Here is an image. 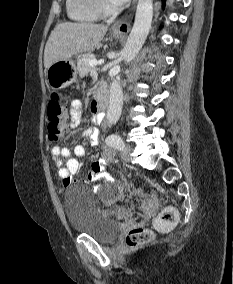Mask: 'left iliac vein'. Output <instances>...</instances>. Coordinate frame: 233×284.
Here are the masks:
<instances>
[{"label":"left iliac vein","mask_w":233,"mask_h":284,"mask_svg":"<svg viewBox=\"0 0 233 284\" xmlns=\"http://www.w3.org/2000/svg\"><path fill=\"white\" fill-rule=\"evenodd\" d=\"M130 153H131V147L129 145L124 146L121 149V156L125 161H129L130 160Z\"/></svg>","instance_id":"obj_1"}]
</instances>
